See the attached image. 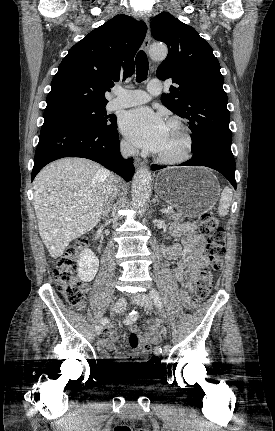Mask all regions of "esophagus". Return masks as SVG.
Masks as SVG:
<instances>
[{
  "mask_svg": "<svg viewBox=\"0 0 275 431\" xmlns=\"http://www.w3.org/2000/svg\"><path fill=\"white\" fill-rule=\"evenodd\" d=\"M142 19H143V21H144V23H145V25L147 27L146 36H145V39L143 41V49L146 52H148L149 46H150V42H151L149 19L146 16H144ZM143 164L144 163H143V161L140 158L136 157L134 159V165H135V167H140Z\"/></svg>",
  "mask_w": 275,
  "mask_h": 431,
  "instance_id": "34e87169",
  "label": "esophagus"
}]
</instances>
